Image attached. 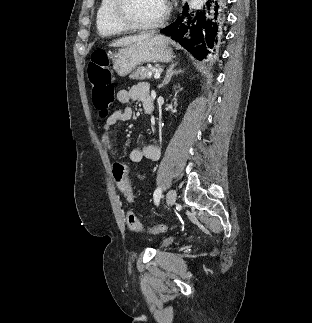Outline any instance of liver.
<instances>
[{"label":"liver","mask_w":312,"mask_h":323,"mask_svg":"<svg viewBox=\"0 0 312 323\" xmlns=\"http://www.w3.org/2000/svg\"><path fill=\"white\" fill-rule=\"evenodd\" d=\"M148 38H153V34H140V36H126V38H120V40H114L112 48H122V46H127V44H132V42H140V40H148Z\"/></svg>","instance_id":"obj_1"}]
</instances>
